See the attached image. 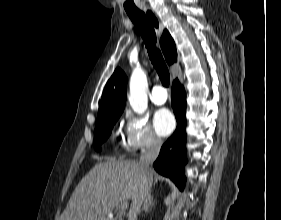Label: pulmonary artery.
I'll return each mask as SVG.
<instances>
[{
	"mask_svg": "<svg viewBox=\"0 0 281 220\" xmlns=\"http://www.w3.org/2000/svg\"><path fill=\"white\" fill-rule=\"evenodd\" d=\"M151 101L156 105H162L167 100L166 90L161 85H155L150 95Z\"/></svg>",
	"mask_w": 281,
	"mask_h": 220,
	"instance_id": "e3ab8cb5",
	"label": "pulmonary artery"
}]
</instances>
